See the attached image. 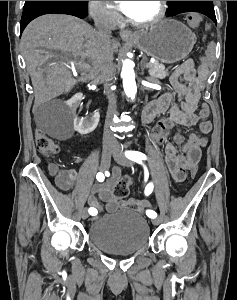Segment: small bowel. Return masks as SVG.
Returning <instances> with one entry per match:
<instances>
[{
    "instance_id": "obj_1",
    "label": "small bowel",
    "mask_w": 237,
    "mask_h": 300,
    "mask_svg": "<svg viewBox=\"0 0 237 300\" xmlns=\"http://www.w3.org/2000/svg\"><path fill=\"white\" fill-rule=\"evenodd\" d=\"M210 69L200 64L195 66L189 59L181 63L170 77L172 92L162 95L150 102L142 113V123L151 124L164 113L167 117L158 118L151 130L153 140L164 144L165 162L172 179L183 182L186 171L196 165L201 156V150L207 145L206 135L212 130L208 120L210 110L206 103H200L201 93L209 78ZM199 112L197 113V110ZM198 126L200 135L190 134L184 143L181 131L178 130L170 140V134L176 127ZM50 174L55 178L56 185L63 191L87 188L90 191L88 203L96 210L94 217L103 211L114 212L119 207L137 210L148 207L147 202L136 199L120 202L113 195V189L120 179V170L115 168L110 178L104 183L92 184L89 177H83L74 168H59L52 164Z\"/></svg>"
}]
</instances>
